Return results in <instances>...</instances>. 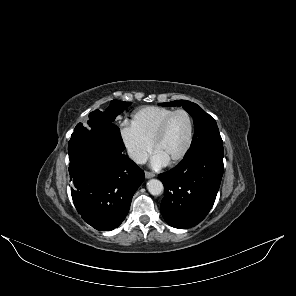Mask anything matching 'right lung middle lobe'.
I'll return each instance as SVG.
<instances>
[{
    "mask_svg": "<svg viewBox=\"0 0 296 296\" xmlns=\"http://www.w3.org/2000/svg\"><path fill=\"white\" fill-rule=\"evenodd\" d=\"M129 105H131V102L112 100L110 106L104 112H101L98 109L91 112L87 123L94 121L104 124H113L115 118Z\"/></svg>",
    "mask_w": 296,
    "mask_h": 296,
    "instance_id": "1",
    "label": "right lung middle lobe"
}]
</instances>
